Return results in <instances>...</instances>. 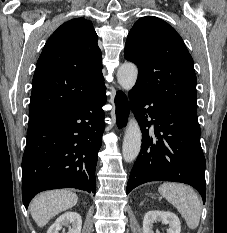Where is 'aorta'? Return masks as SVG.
I'll use <instances>...</instances> for the list:
<instances>
[{
    "mask_svg": "<svg viewBox=\"0 0 227 233\" xmlns=\"http://www.w3.org/2000/svg\"><path fill=\"white\" fill-rule=\"evenodd\" d=\"M138 69L133 63H124L117 71V79L120 86L126 90H131L137 80ZM142 133L138 122L132 116L129 118L123 139L122 155L126 162L134 161L141 149Z\"/></svg>",
    "mask_w": 227,
    "mask_h": 233,
    "instance_id": "762f6f07",
    "label": "aorta"
}]
</instances>
